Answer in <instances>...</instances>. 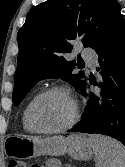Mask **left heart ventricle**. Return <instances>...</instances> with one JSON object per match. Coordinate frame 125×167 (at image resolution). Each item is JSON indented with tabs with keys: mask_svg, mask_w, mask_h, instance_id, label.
I'll return each mask as SVG.
<instances>
[{
	"mask_svg": "<svg viewBox=\"0 0 125 167\" xmlns=\"http://www.w3.org/2000/svg\"><path fill=\"white\" fill-rule=\"evenodd\" d=\"M71 115L72 106L68 98L61 93H51L37 102L32 120L38 128L52 129L64 125Z\"/></svg>",
	"mask_w": 125,
	"mask_h": 167,
	"instance_id": "1",
	"label": "left heart ventricle"
}]
</instances>
